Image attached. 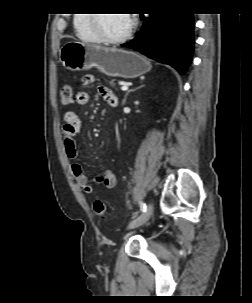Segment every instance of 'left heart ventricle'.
Returning <instances> with one entry per match:
<instances>
[{
    "instance_id": "1",
    "label": "left heart ventricle",
    "mask_w": 252,
    "mask_h": 303,
    "mask_svg": "<svg viewBox=\"0 0 252 303\" xmlns=\"http://www.w3.org/2000/svg\"><path fill=\"white\" fill-rule=\"evenodd\" d=\"M100 28L105 35L116 37L122 35L129 26L128 14H101Z\"/></svg>"
}]
</instances>
